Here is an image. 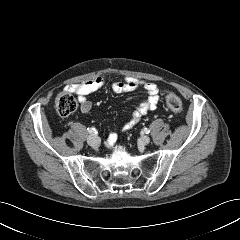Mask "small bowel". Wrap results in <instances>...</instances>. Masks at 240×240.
I'll return each mask as SVG.
<instances>
[{
    "instance_id": "c3829d8e",
    "label": "small bowel",
    "mask_w": 240,
    "mask_h": 240,
    "mask_svg": "<svg viewBox=\"0 0 240 240\" xmlns=\"http://www.w3.org/2000/svg\"><path fill=\"white\" fill-rule=\"evenodd\" d=\"M107 85H109L116 93L134 92L139 88H143L147 93V97L132 112L129 121L123 126L122 131L132 129L145 114L154 110L158 104V87L153 83L144 82L131 77L125 78L123 81H110L107 78L98 77L83 83L69 85L67 89L78 96L81 112L87 114L92 108V104L87 98L88 95L106 87ZM116 139L117 133H110L107 138V145L113 146Z\"/></svg>"
}]
</instances>
